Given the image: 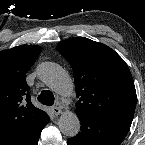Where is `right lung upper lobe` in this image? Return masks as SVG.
I'll list each match as a JSON object with an SVG mask.
<instances>
[{"instance_id": "cb5924a9", "label": "right lung upper lobe", "mask_w": 145, "mask_h": 145, "mask_svg": "<svg viewBox=\"0 0 145 145\" xmlns=\"http://www.w3.org/2000/svg\"><path fill=\"white\" fill-rule=\"evenodd\" d=\"M42 48L22 45L0 52V145L48 117L30 99L26 73Z\"/></svg>"}]
</instances>
